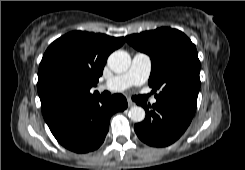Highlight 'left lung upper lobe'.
<instances>
[{
	"mask_svg": "<svg viewBox=\"0 0 245 170\" xmlns=\"http://www.w3.org/2000/svg\"><path fill=\"white\" fill-rule=\"evenodd\" d=\"M126 41L152 61L149 86L158 101H176L196 108L200 61L195 45L181 31L162 27L133 34Z\"/></svg>",
	"mask_w": 245,
	"mask_h": 170,
	"instance_id": "1",
	"label": "left lung upper lobe"
}]
</instances>
